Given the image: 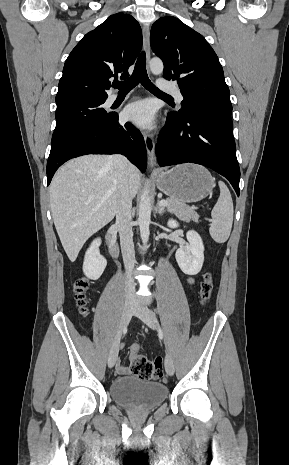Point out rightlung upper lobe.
<instances>
[{
  "label": "right lung upper lobe",
  "instance_id": "cb5924a9",
  "mask_svg": "<svg viewBox=\"0 0 289 465\" xmlns=\"http://www.w3.org/2000/svg\"><path fill=\"white\" fill-rule=\"evenodd\" d=\"M142 47L139 23L129 14L117 13L87 33L69 54L59 81L56 103L106 100L109 79L129 76Z\"/></svg>",
  "mask_w": 289,
  "mask_h": 465
}]
</instances>
